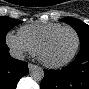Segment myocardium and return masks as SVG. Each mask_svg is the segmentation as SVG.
Masks as SVG:
<instances>
[{
  "label": "myocardium",
  "instance_id": "f54148a6",
  "mask_svg": "<svg viewBox=\"0 0 89 89\" xmlns=\"http://www.w3.org/2000/svg\"><path fill=\"white\" fill-rule=\"evenodd\" d=\"M65 29L71 30L75 34V37H76V44H75V47H74L72 53L66 59H64L62 61H59V62H50V61L46 60L44 58V55H43V52H44L46 46L49 44V42L51 41V39L56 34H58L59 32H61L62 30H65ZM79 47H80V35H79V33L72 26L65 25V26H61L58 29L54 30L53 32L49 33L44 38V40L42 41V43L38 47L36 55H37L39 61L43 65H45V66H47L49 68H60V67H63L65 65L69 64L75 58V56H76V54H77V52L79 50Z\"/></svg>",
  "mask_w": 89,
  "mask_h": 89
}]
</instances>
